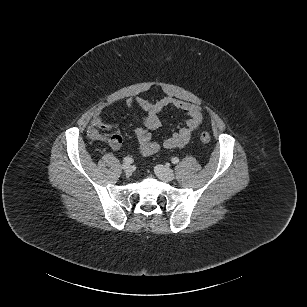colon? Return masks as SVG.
Wrapping results in <instances>:
<instances>
[{"mask_svg":"<svg viewBox=\"0 0 307 307\" xmlns=\"http://www.w3.org/2000/svg\"><path fill=\"white\" fill-rule=\"evenodd\" d=\"M199 137H200V140L205 144L211 141V136L207 131H202ZM108 142L112 148L117 149L122 144V137L118 133H113L109 136Z\"/></svg>","mask_w":307,"mask_h":307,"instance_id":"obj_1","label":"colon"}]
</instances>
